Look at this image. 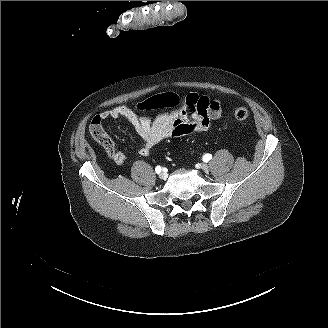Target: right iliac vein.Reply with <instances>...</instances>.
Masks as SVG:
<instances>
[{"mask_svg":"<svg viewBox=\"0 0 328 328\" xmlns=\"http://www.w3.org/2000/svg\"><path fill=\"white\" fill-rule=\"evenodd\" d=\"M159 178H160L161 180H165V179L167 178V173H166V172H161V173L159 174Z\"/></svg>","mask_w":328,"mask_h":328,"instance_id":"63e3f726","label":"right iliac vein"}]
</instances>
